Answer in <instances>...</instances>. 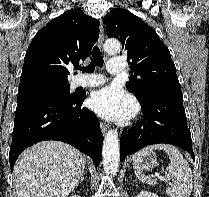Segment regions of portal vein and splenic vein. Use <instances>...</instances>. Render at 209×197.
<instances>
[{
	"label": "portal vein and splenic vein",
	"instance_id": "18ae733b",
	"mask_svg": "<svg viewBox=\"0 0 209 197\" xmlns=\"http://www.w3.org/2000/svg\"><path fill=\"white\" fill-rule=\"evenodd\" d=\"M156 177L159 178V179H161V180H163V181H166V182L168 181L167 178H165L164 176H161L159 174H156Z\"/></svg>",
	"mask_w": 209,
	"mask_h": 197
}]
</instances>
